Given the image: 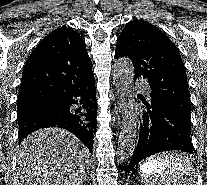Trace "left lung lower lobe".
<instances>
[{
  "label": "left lung lower lobe",
  "instance_id": "obj_1",
  "mask_svg": "<svg viewBox=\"0 0 207 185\" xmlns=\"http://www.w3.org/2000/svg\"><path fill=\"white\" fill-rule=\"evenodd\" d=\"M137 97L146 109L140 122L138 145L127 171H131L142 159L159 152L179 150L192 154L190 118L168 103L157 99L148 102L142 95Z\"/></svg>",
  "mask_w": 207,
  "mask_h": 185
}]
</instances>
